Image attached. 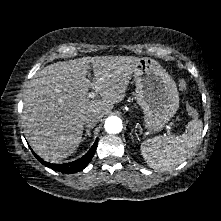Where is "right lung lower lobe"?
Wrapping results in <instances>:
<instances>
[{"label":"right lung lower lobe","instance_id":"98d812e1","mask_svg":"<svg viewBox=\"0 0 221 221\" xmlns=\"http://www.w3.org/2000/svg\"><path fill=\"white\" fill-rule=\"evenodd\" d=\"M96 147H97V140L95 141L91 149L83 157H81L76 161L64 164H51L49 162H45L43 159L37 156L33 151L32 152L39 162H41L42 164H44L49 168H52L55 171H59L62 173H76L84 169L88 165V163L91 161L92 157L94 156Z\"/></svg>","mask_w":221,"mask_h":221}]
</instances>
